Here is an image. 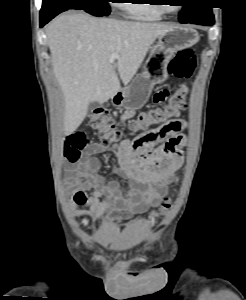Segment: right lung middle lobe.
I'll list each match as a JSON object with an SVG mask.
<instances>
[{
  "instance_id": "1",
  "label": "right lung middle lobe",
  "mask_w": 246,
  "mask_h": 300,
  "mask_svg": "<svg viewBox=\"0 0 246 300\" xmlns=\"http://www.w3.org/2000/svg\"><path fill=\"white\" fill-rule=\"evenodd\" d=\"M65 7L84 10L94 16H104L110 13L108 0H42L40 15Z\"/></svg>"
}]
</instances>
